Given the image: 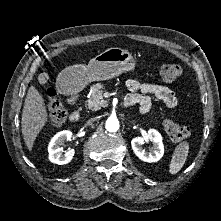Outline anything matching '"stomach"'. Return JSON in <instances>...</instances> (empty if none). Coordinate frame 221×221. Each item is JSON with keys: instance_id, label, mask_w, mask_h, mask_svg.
Segmentation results:
<instances>
[{"instance_id": "stomach-1", "label": "stomach", "mask_w": 221, "mask_h": 221, "mask_svg": "<svg viewBox=\"0 0 221 221\" xmlns=\"http://www.w3.org/2000/svg\"><path fill=\"white\" fill-rule=\"evenodd\" d=\"M136 61L132 54L122 48H109L91 59L88 65L76 64L65 68L58 82L69 93L82 90L93 81H104L134 70Z\"/></svg>"}]
</instances>
